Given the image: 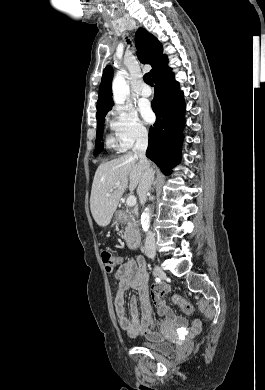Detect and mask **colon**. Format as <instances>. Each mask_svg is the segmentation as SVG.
I'll return each mask as SVG.
<instances>
[{
    "instance_id": "colon-1",
    "label": "colon",
    "mask_w": 265,
    "mask_h": 390,
    "mask_svg": "<svg viewBox=\"0 0 265 390\" xmlns=\"http://www.w3.org/2000/svg\"><path fill=\"white\" fill-rule=\"evenodd\" d=\"M101 259L108 273H113L117 265L115 255L107 249L102 250ZM172 302L177 305L184 313L192 314L194 309L192 304L180 295H173Z\"/></svg>"
}]
</instances>
